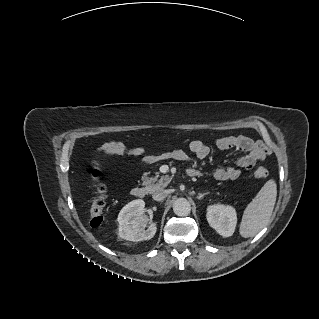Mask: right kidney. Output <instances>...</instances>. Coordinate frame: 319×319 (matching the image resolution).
Instances as JSON below:
<instances>
[{"label": "right kidney", "mask_w": 319, "mask_h": 319, "mask_svg": "<svg viewBox=\"0 0 319 319\" xmlns=\"http://www.w3.org/2000/svg\"><path fill=\"white\" fill-rule=\"evenodd\" d=\"M144 207L145 202L142 199H137L122 208L117 218L119 237L129 241L149 240L154 237L157 230L156 223H151L145 229L148 218L143 215Z\"/></svg>", "instance_id": "ca27d5eb"}]
</instances>
